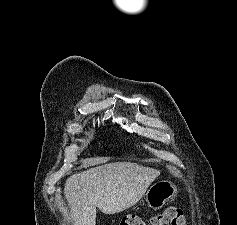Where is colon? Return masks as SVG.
I'll return each mask as SVG.
<instances>
[{
	"label": "colon",
	"instance_id": "colon-1",
	"mask_svg": "<svg viewBox=\"0 0 237 225\" xmlns=\"http://www.w3.org/2000/svg\"><path fill=\"white\" fill-rule=\"evenodd\" d=\"M120 225H186V218L180 208L170 207L146 220L138 215H127L121 220Z\"/></svg>",
	"mask_w": 237,
	"mask_h": 225
}]
</instances>
